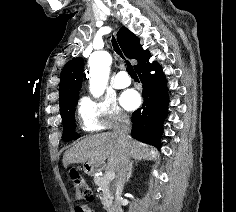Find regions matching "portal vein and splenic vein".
Segmentation results:
<instances>
[{"label":"portal vein and splenic vein","mask_w":236,"mask_h":212,"mask_svg":"<svg viewBox=\"0 0 236 212\" xmlns=\"http://www.w3.org/2000/svg\"><path fill=\"white\" fill-rule=\"evenodd\" d=\"M105 177L108 179V180H113L115 178V172L114 171H108L105 175Z\"/></svg>","instance_id":"1"}]
</instances>
